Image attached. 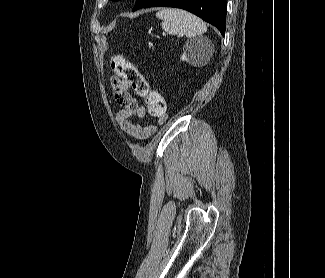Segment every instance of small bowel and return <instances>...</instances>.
Masks as SVG:
<instances>
[{"mask_svg": "<svg viewBox=\"0 0 325 278\" xmlns=\"http://www.w3.org/2000/svg\"><path fill=\"white\" fill-rule=\"evenodd\" d=\"M110 87L114 94L115 101L120 105V110L116 113V121L122 126L126 133L132 138L143 141L146 140L156 129L154 124L141 125L133 123L132 119H143L145 108L131 92V85L117 77L110 79ZM159 118L160 122L165 120Z\"/></svg>", "mask_w": 325, "mask_h": 278, "instance_id": "1", "label": "small bowel"}]
</instances>
